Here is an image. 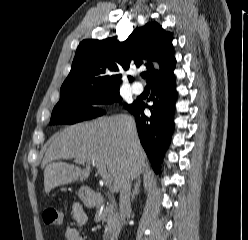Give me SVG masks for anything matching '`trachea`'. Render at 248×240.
<instances>
[{
  "label": "trachea",
  "instance_id": "3493384b",
  "mask_svg": "<svg viewBox=\"0 0 248 240\" xmlns=\"http://www.w3.org/2000/svg\"><path fill=\"white\" fill-rule=\"evenodd\" d=\"M141 76H142L143 78H148L149 73H148V72H143V73L141 74Z\"/></svg>",
  "mask_w": 248,
  "mask_h": 240
}]
</instances>
